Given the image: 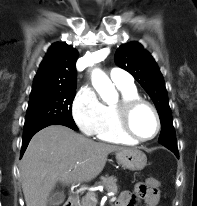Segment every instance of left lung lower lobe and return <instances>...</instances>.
Here are the masks:
<instances>
[{"instance_id": "left-lung-lower-lobe-1", "label": "left lung lower lobe", "mask_w": 197, "mask_h": 206, "mask_svg": "<svg viewBox=\"0 0 197 206\" xmlns=\"http://www.w3.org/2000/svg\"><path fill=\"white\" fill-rule=\"evenodd\" d=\"M163 146H165L166 148L171 150L177 157H179V152H178L177 145H174V144H164Z\"/></svg>"}]
</instances>
